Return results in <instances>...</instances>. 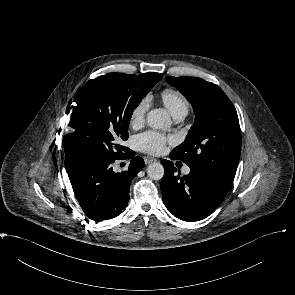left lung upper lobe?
<instances>
[{"label":"left lung upper lobe","mask_w":295,"mask_h":295,"mask_svg":"<svg viewBox=\"0 0 295 295\" xmlns=\"http://www.w3.org/2000/svg\"><path fill=\"white\" fill-rule=\"evenodd\" d=\"M191 102L196 115L185 141L170 153L191 170L231 189L241 151L237 112L220 87L196 77H166Z\"/></svg>","instance_id":"5c2ea615"}]
</instances>
